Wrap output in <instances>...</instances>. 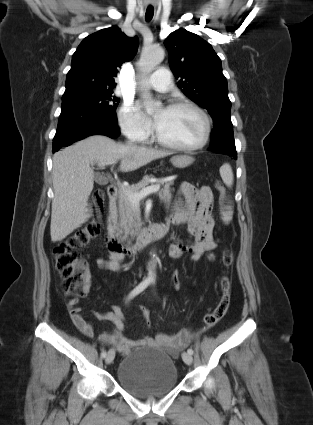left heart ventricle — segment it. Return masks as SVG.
<instances>
[{"instance_id": "obj_1", "label": "left heart ventricle", "mask_w": 313, "mask_h": 425, "mask_svg": "<svg viewBox=\"0 0 313 425\" xmlns=\"http://www.w3.org/2000/svg\"><path fill=\"white\" fill-rule=\"evenodd\" d=\"M157 115L161 121L156 132L163 140L181 146H192L201 140L203 121L193 110L167 108L159 110Z\"/></svg>"}]
</instances>
